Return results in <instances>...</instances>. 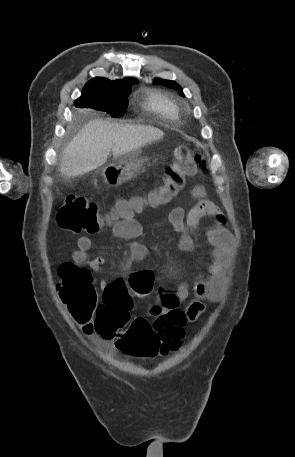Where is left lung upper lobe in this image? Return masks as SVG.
Listing matches in <instances>:
<instances>
[{"instance_id": "left-lung-upper-lobe-1", "label": "left lung upper lobe", "mask_w": 295, "mask_h": 457, "mask_svg": "<svg viewBox=\"0 0 295 457\" xmlns=\"http://www.w3.org/2000/svg\"><path fill=\"white\" fill-rule=\"evenodd\" d=\"M156 81L159 82V83H162L163 85H165L167 87L176 89V90L180 91L181 93H183L182 92V88L180 87V85H178L174 81L164 80V79H160V78H157Z\"/></svg>"}]
</instances>
